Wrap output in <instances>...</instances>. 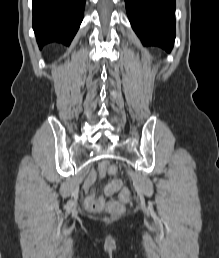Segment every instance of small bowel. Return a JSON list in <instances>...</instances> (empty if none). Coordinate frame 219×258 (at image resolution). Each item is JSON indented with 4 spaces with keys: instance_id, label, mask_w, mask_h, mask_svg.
I'll use <instances>...</instances> for the list:
<instances>
[{
    "instance_id": "1",
    "label": "small bowel",
    "mask_w": 219,
    "mask_h": 258,
    "mask_svg": "<svg viewBox=\"0 0 219 258\" xmlns=\"http://www.w3.org/2000/svg\"><path fill=\"white\" fill-rule=\"evenodd\" d=\"M93 179H94V177L92 176L90 179H89V181H88V183H90L91 181H93ZM111 184H114L113 186H111L110 188H109V190H114V189H117L118 188V184H123V179H111Z\"/></svg>"
}]
</instances>
